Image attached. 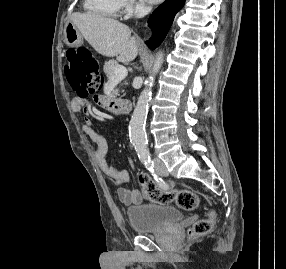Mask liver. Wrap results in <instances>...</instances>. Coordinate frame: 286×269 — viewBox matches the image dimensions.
Segmentation results:
<instances>
[{"mask_svg":"<svg viewBox=\"0 0 286 269\" xmlns=\"http://www.w3.org/2000/svg\"><path fill=\"white\" fill-rule=\"evenodd\" d=\"M72 22L88 43L101 55L129 63L139 53L140 40L119 21L95 13H73Z\"/></svg>","mask_w":286,"mask_h":269,"instance_id":"obj_1","label":"liver"}]
</instances>
